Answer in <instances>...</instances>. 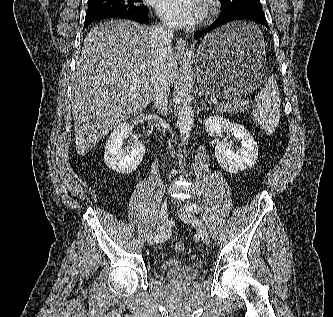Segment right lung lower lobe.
Listing matches in <instances>:
<instances>
[{
    "label": "right lung lower lobe",
    "instance_id": "obj_1",
    "mask_svg": "<svg viewBox=\"0 0 333 317\" xmlns=\"http://www.w3.org/2000/svg\"><path fill=\"white\" fill-rule=\"evenodd\" d=\"M104 18H122V19H130L136 22L143 23L148 18V11H133L128 13H120V12H104L100 14H90L86 15L84 28L88 26L95 20L104 19Z\"/></svg>",
    "mask_w": 333,
    "mask_h": 317
}]
</instances>
